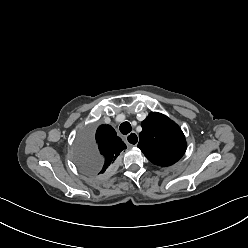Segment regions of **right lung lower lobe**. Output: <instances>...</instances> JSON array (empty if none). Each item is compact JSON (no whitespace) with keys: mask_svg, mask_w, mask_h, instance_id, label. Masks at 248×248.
Returning a JSON list of instances; mask_svg holds the SVG:
<instances>
[{"mask_svg":"<svg viewBox=\"0 0 248 248\" xmlns=\"http://www.w3.org/2000/svg\"><path fill=\"white\" fill-rule=\"evenodd\" d=\"M114 165H115V164H114ZM114 165H112L111 168H110L107 172L111 171V170L113 169Z\"/></svg>","mask_w":248,"mask_h":248,"instance_id":"1","label":"right lung lower lobe"}]
</instances>
